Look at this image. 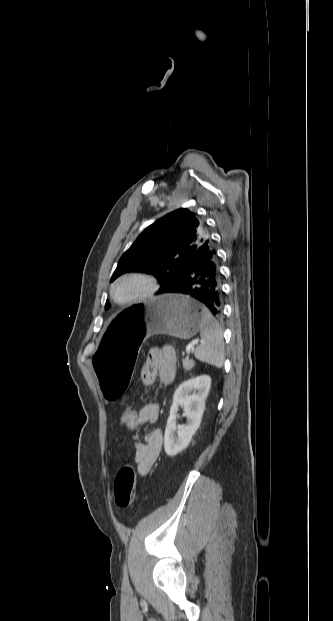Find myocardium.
Returning a JSON list of instances; mask_svg holds the SVG:
<instances>
[{"label": "myocardium", "mask_w": 333, "mask_h": 621, "mask_svg": "<svg viewBox=\"0 0 333 621\" xmlns=\"http://www.w3.org/2000/svg\"><path fill=\"white\" fill-rule=\"evenodd\" d=\"M128 279H135V280L142 281L145 284V289L140 294H138L137 296L133 298H130L127 300H119L115 295V287L121 281L128 280ZM158 290H159V284L157 282V279L153 275L147 272H143V271H129V272H125L119 275L117 278H115L112 281V283L110 284L109 292H110L111 299L116 304L127 306V305H133V304L143 302L153 297L157 293Z\"/></svg>", "instance_id": "f54148a6"}]
</instances>
